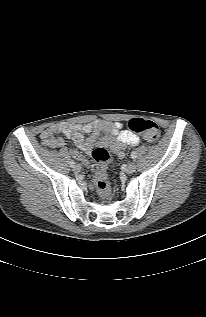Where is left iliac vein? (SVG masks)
Masks as SVG:
<instances>
[{
    "label": "left iliac vein",
    "instance_id": "4c4485c4",
    "mask_svg": "<svg viewBox=\"0 0 206 317\" xmlns=\"http://www.w3.org/2000/svg\"><path fill=\"white\" fill-rule=\"evenodd\" d=\"M136 164L134 162H131L125 169V172L127 174H133L136 171Z\"/></svg>",
    "mask_w": 206,
    "mask_h": 317
}]
</instances>
